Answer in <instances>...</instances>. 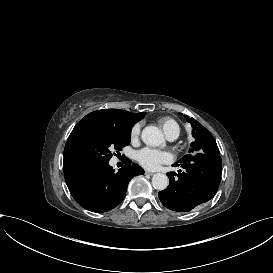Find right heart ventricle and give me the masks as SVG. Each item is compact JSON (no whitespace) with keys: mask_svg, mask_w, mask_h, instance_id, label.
I'll list each match as a JSON object with an SVG mask.
<instances>
[{"mask_svg":"<svg viewBox=\"0 0 273 273\" xmlns=\"http://www.w3.org/2000/svg\"><path fill=\"white\" fill-rule=\"evenodd\" d=\"M158 125L163 133L168 136H173L175 139L181 134L180 123L172 117H162L158 120Z\"/></svg>","mask_w":273,"mask_h":273,"instance_id":"e07e8e85","label":"right heart ventricle"}]
</instances>
